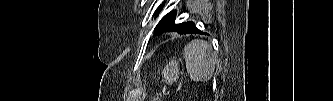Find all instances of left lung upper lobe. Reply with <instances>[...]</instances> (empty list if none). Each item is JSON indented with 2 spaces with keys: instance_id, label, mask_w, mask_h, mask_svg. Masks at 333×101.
Wrapping results in <instances>:
<instances>
[{
  "instance_id": "1",
  "label": "left lung upper lobe",
  "mask_w": 333,
  "mask_h": 101,
  "mask_svg": "<svg viewBox=\"0 0 333 101\" xmlns=\"http://www.w3.org/2000/svg\"><path fill=\"white\" fill-rule=\"evenodd\" d=\"M163 7V5H161L155 16H157L161 10V8ZM175 18H176V12L173 10L171 11L170 13H168L167 15H165L161 21L158 23V25L155 27L154 29V33L159 35L161 33H164V32H171L173 31L174 29H176L179 24H175L174 21H175Z\"/></svg>"
}]
</instances>
